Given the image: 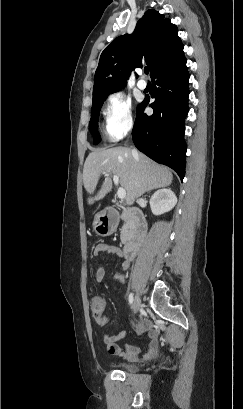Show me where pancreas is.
<instances>
[{
	"label": "pancreas",
	"mask_w": 243,
	"mask_h": 409,
	"mask_svg": "<svg viewBox=\"0 0 243 409\" xmlns=\"http://www.w3.org/2000/svg\"><path fill=\"white\" fill-rule=\"evenodd\" d=\"M124 215H122L123 217ZM132 235V223L131 220L126 219L123 227L121 228L120 232V239L122 243H126L128 240H130Z\"/></svg>",
	"instance_id": "1"
}]
</instances>
